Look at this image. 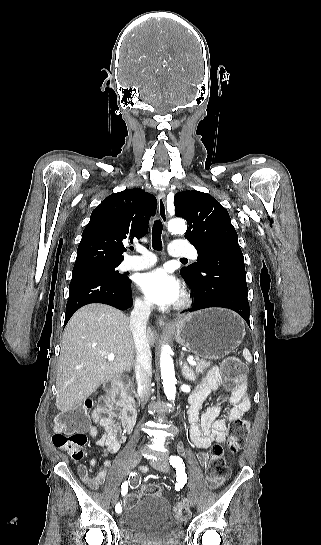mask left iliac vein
<instances>
[{"label":"left iliac vein","mask_w":321,"mask_h":545,"mask_svg":"<svg viewBox=\"0 0 321 545\" xmlns=\"http://www.w3.org/2000/svg\"><path fill=\"white\" fill-rule=\"evenodd\" d=\"M150 464L155 469H157V470H159L161 472H164V473L169 472V468H170L169 464L163 459L151 460ZM187 497H188V501H189L190 505L195 506L196 498H195L194 494L192 492H188Z\"/></svg>","instance_id":"obj_1"}]
</instances>
